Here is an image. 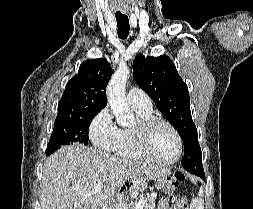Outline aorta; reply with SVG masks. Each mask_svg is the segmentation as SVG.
<instances>
[{"mask_svg": "<svg viewBox=\"0 0 253 209\" xmlns=\"http://www.w3.org/2000/svg\"><path fill=\"white\" fill-rule=\"evenodd\" d=\"M129 75V68L126 65H120L107 86L108 103L116 117L117 123L121 126L130 125L134 121V116L130 113L125 95V87Z\"/></svg>", "mask_w": 253, "mask_h": 209, "instance_id": "obj_1", "label": "aorta"}]
</instances>
